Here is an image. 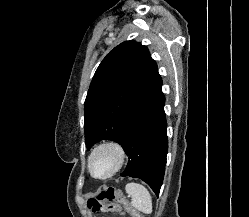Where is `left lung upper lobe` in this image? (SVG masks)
I'll return each mask as SVG.
<instances>
[{
    "label": "left lung upper lobe",
    "instance_id": "left-lung-upper-lobe-1",
    "mask_svg": "<svg viewBox=\"0 0 249 217\" xmlns=\"http://www.w3.org/2000/svg\"><path fill=\"white\" fill-rule=\"evenodd\" d=\"M148 48L133 40L116 46L97 68L84 106L85 143L120 141L127 115L158 81Z\"/></svg>",
    "mask_w": 249,
    "mask_h": 217
}]
</instances>
